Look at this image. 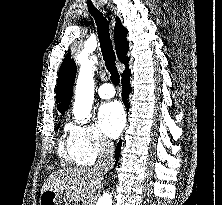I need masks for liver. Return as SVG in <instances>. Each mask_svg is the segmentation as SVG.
Here are the masks:
<instances>
[{
	"label": "liver",
	"instance_id": "1",
	"mask_svg": "<svg viewBox=\"0 0 222 205\" xmlns=\"http://www.w3.org/2000/svg\"><path fill=\"white\" fill-rule=\"evenodd\" d=\"M101 179V174L94 169L66 168L52 173L42 186V192L52 190L66 200L88 205L100 188Z\"/></svg>",
	"mask_w": 222,
	"mask_h": 205
}]
</instances>
